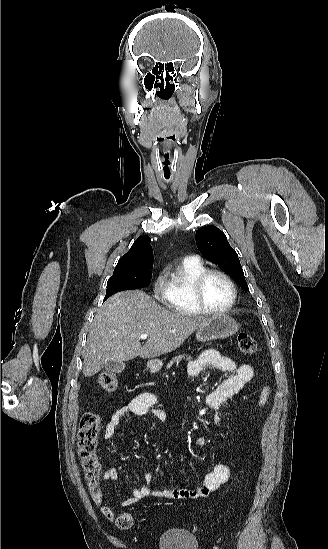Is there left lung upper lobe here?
<instances>
[{"label": "left lung upper lobe", "instance_id": "left-lung-upper-lobe-1", "mask_svg": "<svg viewBox=\"0 0 328 549\" xmlns=\"http://www.w3.org/2000/svg\"><path fill=\"white\" fill-rule=\"evenodd\" d=\"M196 243L204 257L218 265L244 290L249 291L238 255L220 229L213 225L199 229L196 233Z\"/></svg>", "mask_w": 328, "mask_h": 549}]
</instances>
